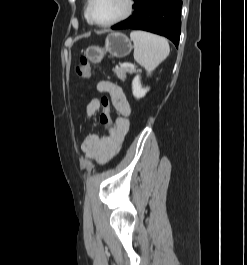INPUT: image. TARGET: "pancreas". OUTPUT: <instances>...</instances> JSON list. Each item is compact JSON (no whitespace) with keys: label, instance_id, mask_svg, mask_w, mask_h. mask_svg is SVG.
Returning <instances> with one entry per match:
<instances>
[{"label":"pancreas","instance_id":"pancreas-1","mask_svg":"<svg viewBox=\"0 0 247 265\" xmlns=\"http://www.w3.org/2000/svg\"><path fill=\"white\" fill-rule=\"evenodd\" d=\"M133 71H134V68H128V67H123V66L116 67L114 69V73L122 81H125L127 73L131 74L133 73Z\"/></svg>","mask_w":247,"mask_h":265}]
</instances>
